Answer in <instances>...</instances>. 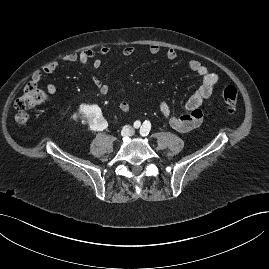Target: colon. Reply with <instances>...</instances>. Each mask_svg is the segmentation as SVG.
Listing matches in <instances>:
<instances>
[{
    "instance_id": "1",
    "label": "colon",
    "mask_w": 269,
    "mask_h": 269,
    "mask_svg": "<svg viewBox=\"0 0 269 269\" xmlns=\"http://www.w3.org/2000/svg\"><path fill=\"white\" fill-rule=\"evenodd\" d=\"M219 94L227 105L230 113L237 111L238 90L234 86H225ZM46 100V94L34 82L27 83L21 95L15 101V119L20 124H25L29 119V110Z\"/></svg>"
}]
</instances>
